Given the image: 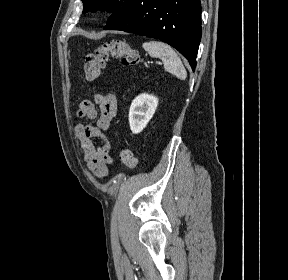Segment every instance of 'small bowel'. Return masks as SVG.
Here are the masks:
<instances>
[{
	"label": "small bowel",
	"instance_id": "c3829d8e",
	"mask_svg": "<svg viewBox=\"0 0 288 280\" xmlns=\"http://www.w3.org/2000/svg\"><path fill=\"white\" fill-rule=\"evenodd\" d=\"M117 113V99L114 94L95 93L92 99H84L77 108L80 122L76 134L80 140L83 157L88 169L98 178L107 176L113 162L112 142L105 134ZM96 120V125L89 122ZM94 139H99L96 145Z\"/></svg>",
	"mask_w": 288,
	"mask_h": 280
}]
</instances>
